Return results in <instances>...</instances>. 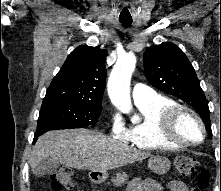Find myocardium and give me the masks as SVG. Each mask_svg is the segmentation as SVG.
I'll list each match as a JSON object with an SVG mask.
<instances>
[{
  "mask_svg": "<svg viewBox=\"0 0 221 191\" xmlns=\"http://www.w3.org/2000/svg\"><path fill=\"white\" fill-rule=\"evenodd\" d=\"M184 116L192 118L198 125L201 133L198 141H189L180 135L178 124ZM160 134L170 144L197 146L205 140L206 129L201 117L194 110L185 105L175 104L162 111L160 117Z\"/></svg>",
  "mask_w": 221,
  "mask_h": 191,
  "instance_id": "f54148a6",
  "label": "myocardium"
}]
</instances>
